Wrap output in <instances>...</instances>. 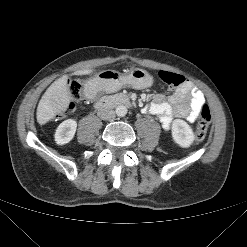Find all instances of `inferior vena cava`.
Returning a JSON list of instances; mask_svg holds the SVG:
<instances>
[{
	"label": "inferior vena cava",
	"mask_w": 247,
	"mask_h": 247,
	"mask_svg": "<svg viewBox=\"0 0 247 247\" xmlns=\"http://www.w3.org/2000/svg\"><path fill=\"white\" fill-rule=\"evenodd\" d=\"M97 114L102 120L111 121L115 118V111L109 108H101Z\"/></svg>",
	"instance_id": "602c4592"
}]
</instances>
